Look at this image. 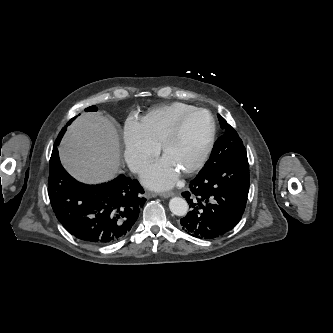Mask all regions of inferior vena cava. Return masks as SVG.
<instances>
[{
  "label": "inferior vena cava",
  "instance_id": "602c4592",
  "mask_svg": "<svg viewBox=\"0 0 333 333\" xmlns=\"http://www.w3.org/2000/svg\"><path fill=\"white\" fill-rule=\"evenodd\" d=\"M129 169L133 173H138L141 169V165L138 163H130L129 164Z\"/></svg>",
  "mask_w": 333,
  "mask_h": 333
}]
</instances>
